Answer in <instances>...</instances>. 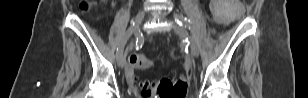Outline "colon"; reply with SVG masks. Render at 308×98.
<instances>
[{
  "label": "colon",
  "instance_id": "5ec220e1",
  "mask_svg": "<svg viewBox=\"0 0 308 98\" xmlns=\"http://www.w3.org/2000/svg\"><path fill=\"white\" fill-rule=\"evenodd\" d=\"M90 6V2L83 1L81 8L87 10ZM130 64L137 68L143 69L148 68L152 65V61L144 55L132 54L129 57ZM140 93L144 97H149L153 92L159 95L160 98H182L187 91V82L183 79L180 80H169L162 79L157 84L141 83Z\"/></svg>",
  "mask_w": 308,
  "mask_h": 98
}]
</instances>
